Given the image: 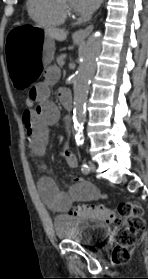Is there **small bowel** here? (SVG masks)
<instances>
[{
    "mask_svg": "<svg viewBox=\"0 0 148 279\" xmlns=\"http://www.w3.org/2000/svg\"><path fill=\"white\" fill-rule=\"evenodd\" d=\"M60 71L49 67L44 72L42 82L29 90V95L38 103L36 108H27L23 113V122L28 134V143L37 155H42L48 141L49 127L56 124L60 112L55 103L50 101V87L59 79ZM60 100L70 97L68 92L61 89L58 93ZM60 156L70 167L77 166V158L68 146H65ZM38 190L42 200L54 212H67L74 202L90 201L99 197L96 187L80 178H73L68 191H62L50 177H42L38 182Z\"/></svg>",
    "mask_w": 148,
    "mask_h": 279,
    "instance_id": "obj_1",
    "label": "small bowel"
}]
</instances>
